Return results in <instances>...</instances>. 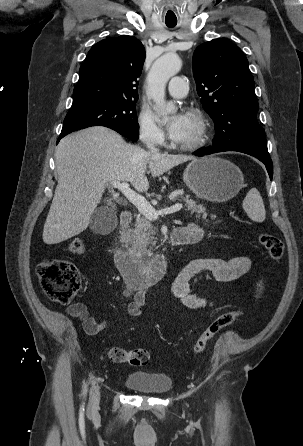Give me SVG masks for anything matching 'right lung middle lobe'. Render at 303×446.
I'll return each mask as SVG.
<instances>
[{"label":"right lung middle lobe","instance_id":"dd1d6c3e","mask_svg":"<svg viewBox=\"0 0 303 446\" xmlns=\"http://www.w3.org/2000/svg\"><path fill=\"white\" fill-rule=\"evenodd\" d=\"M135 102L136 100L108 101L71 108L65 117L61 135L99 125L136 141L139 125Z\"/></svg>","mask_w":303,"mask_h":446}]
</instances>
